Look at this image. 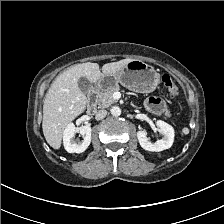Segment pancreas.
<instances>
[{
  "mask_svg": "<svg viewBox=\"0 0 224 224\" xmlns=\"http://www.w3.org/2000/svg\"><path fill=\"white\" fill-rule=\"evenodd\" d=\"M118 91H120V86L115 85L98 93L97 94L98 105L102 108H107L111 106L113 103L116 102V99H114L113 94Z\"/></svg>",
  "mask_w": 224,
  "mask_h": 224,
  "instance_id": "1",
  "label": "pancreas"
}]
</instances>
